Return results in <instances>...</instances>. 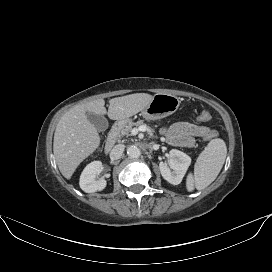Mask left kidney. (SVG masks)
Instances as JSON below:
<instances>
[{
	"instance_id": "5707ae66",
	"label": "left kidney",
	"mask_w": 272,
	"mask_h": 272,
	"mask_svg": "<svg viewBox=\"0 0 272 272\" xmlns=\"http://www.w3.org/2000/svg\"><path fill=\"white\" fill-rule=\"evenodd\" d=\"M170 159L167 163L160 162L159 169L162 177L170 184L181 183L186 171L191 164V158L182 151L172 149L169 152Z\"/></svg>"
}]
</instances>
